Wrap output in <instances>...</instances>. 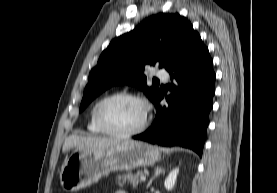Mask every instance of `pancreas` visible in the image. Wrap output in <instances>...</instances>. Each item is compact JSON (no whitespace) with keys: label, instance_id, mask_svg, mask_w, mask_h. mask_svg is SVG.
Returning a JSON list of instances; mask_svg holds the SVG:
<instances>
[{"label":"pancreas","instance_id":"1","mask_svg":"<svg viewBox=\"0 0 277 193\" xmlns=\"http://www.w3.org/2000/svg\"><path fill=\"white\" fill-rule=\"evenodd\" d=\"M143 176L142 171L136 173L128 172L116 177V181L120 186H123L126 182L132 184L134 187L140 182V177Z\"/></svg>","mask_w":277,"mask_h":193}]
</instances>
